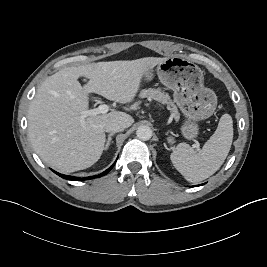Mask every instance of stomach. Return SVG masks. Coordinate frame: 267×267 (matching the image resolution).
I'll return each mask as SVG.
<instances>
[{
  "label": "stomach",
  "mask_w": 267,
  "mask_h": 267,
  "mask_svg": "<svg viewBox=\"0 0 267 267\" xmlns=\"http://www.w3.org/2000/svg\"><path fill=\"white\" fill-rule=\"evenodd\" d=\"M156 72L161 83L173 90L174 101L186 117L180 128L182 135L189 140L196 138L197 122L209 118L217 105L216 94L204 86L203 71L193 62L176 56L159 63ZM153 75L150 69L143 80L150 81ZM167 141L172 143L174 139L170 136Z\"/></svg>",
  "instance_id": "0dacf381"
}]
</instances>
